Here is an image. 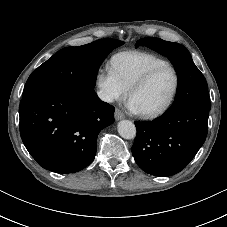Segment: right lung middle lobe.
I'll list each match as a JSON object with an SVG mask.
<instances>
[{"label":"right lung middle lobe","instance_id":"dd1d6c3e","mask_svg":"<svg viewBox=\"0 0 227 227\" xmlns=\"http://www.w3.org/2000/svg\"><path fill=\"white\" fill-rule=\"evenodd\" d=\"M123 44L115 39H101L59 50L31 73L22 96L53 88L93 90L101 63L113 49Z\"/></svg>","mask_w":227,"mask_h":227}]
</instances>
